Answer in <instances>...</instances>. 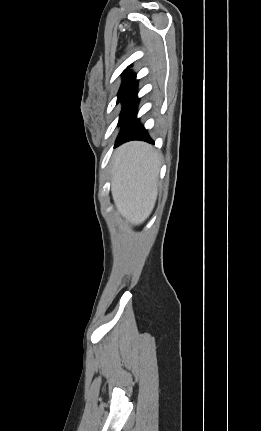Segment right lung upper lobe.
I'll list each match as a JSON object with an SVG mask.
<instances>
[{"mask_svg":"<svg viewBox=\"0 0 261 431\" xmlns=\"http://www.w3.org/2000/svg\"><path fill=\"white\" fill-rule=\"evenodd\" d=\"M129 72H130V70L129 69H126L125 71H124V75L126 76V75H130L129 74Z\"/></svg>","mask_w":261,"mask_h":431,"instance_id":"right-lung-upper-lobe-1","label":"right lung upper lobe"}]
</instances>
